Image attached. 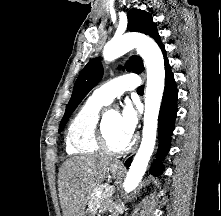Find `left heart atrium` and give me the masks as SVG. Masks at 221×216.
<instances>
[{
    "label": "left heart atrium",
    "mask_w": 221,
    "mask_h": 216,
    "mask_svg": "<svg viewBox=\"0 0 221 216\" xmlns=\"http://www.w3.org/2000/svg\"><path fill=\"white\" fill-rule=\"evenodd\" d=\"M120 124L124 134L131 138L136 130L138 116L136 110L131 105H126L119 114Z\"/></svg>",
    "instance_id": "left-heart-atrium-1"
}]
</instances>
